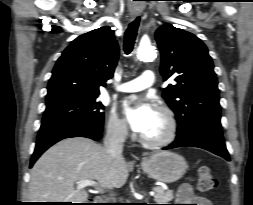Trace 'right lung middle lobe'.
<instances>
[{
  "instance_id": "dd1d6c3e",
  "label": "right lung middle lobe",
  "mask_w": 253,
  "mask_h": 205,
  "mask_svg": "<svg viewBox=\"0 0 253 205\" xmlns=\"http://www.w3.org/2000/svg\"><path fill=\"white\" fill-rule=\"evenodd\" d=\"M98 95H73L47 101L44 120L70 119L91 123H103V105Z\"/></svg>"
}]
</instances>
